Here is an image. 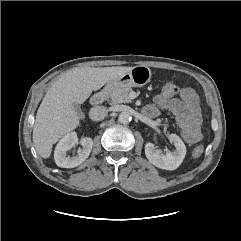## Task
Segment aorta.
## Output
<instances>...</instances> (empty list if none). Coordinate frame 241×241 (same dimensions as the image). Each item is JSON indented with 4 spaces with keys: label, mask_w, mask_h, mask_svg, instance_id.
Here are the masks:
<instances>
[{
    "label": "aorta",
    "mask_w": 241,
    "mask_h": 241,
    "mask_svg": "<svg viewBox=\"0 0 241 241\" xmlns=\"http://www.w3.org/2000/svg\"><path fill=\"white\" fill-rule=\"evenodd\" d=\"M132 120V116L128 111H122L118 116V121L121 124H127Z\"/></svg>",
    "instance_id": "obj_1"
}]
</instances>
